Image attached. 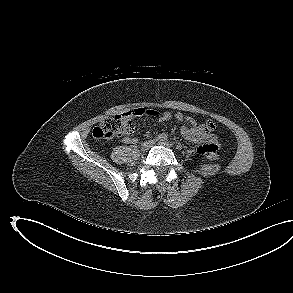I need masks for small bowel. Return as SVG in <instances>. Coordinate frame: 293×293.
Listing matches in <instances>:
<instances>
[{
	"instance_id": "c3829d8e",
	"label": "small bowel",
	"mask_w": 293,
	"mask_h": 293,
	"mask_svg": "<svg viewBox=\"0 0 293 293\" xmlns=\"http://www.w3.org/2000/svg\"><path fill=\"white\" fill-rule=\"evenodd\" d=\"M156 116L158 112L153 109L136 108L123 114L126 118H132L137 116ZM172 118L170 112H163L159 115V121H169ZM175 119L182 123L181 134L189 142L197 146V152L205 147L210 151L216 152L219 147V141L214 133L215 125L211 120L206 121L203 124H199L195 119L191 117H185L182 113H177ZM123 141L126 144H136L138 139L135 137H124Z\"/></svg>"
}]
</instances>
